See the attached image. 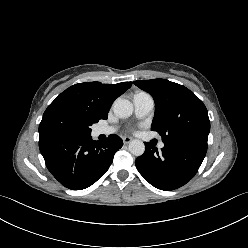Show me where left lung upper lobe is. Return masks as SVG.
I'll use <instances>...</instances> for the list:
<instances>
[{
    "label": "left lung upper lobe",
    "instance_id": "1",
    "mask_svg": "<svg viewBox=\"0 0 248 248\" xmlns=\"http://www.w3.org/2000/svg\"><path fill=\"white\" fill-rule=\"evenodd\" d=\"M134 84L155 100L151 130L164 143H199L207 145L210 132L208 112L203 102L183 85L165 80H138Z\"/></svg>",
    "mask_w": 248,
    "mask_h": 248
}]
</instances>
